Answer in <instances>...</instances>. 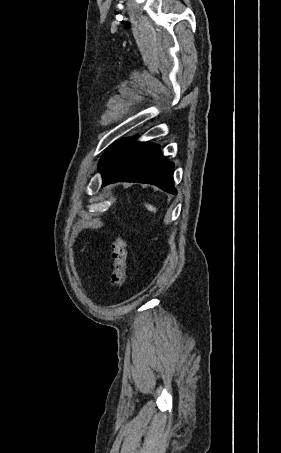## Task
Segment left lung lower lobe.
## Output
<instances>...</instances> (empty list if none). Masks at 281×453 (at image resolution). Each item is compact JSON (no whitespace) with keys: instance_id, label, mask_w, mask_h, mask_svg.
Returning <instances> with one entry per match:
<instances>
[{"instance_id":"left-lung-lower-lobe-1","label":"left lung lower lobe","mask_w":281,"mask_h":453,"mask_svg":"<svg viewBox=\"0 0 281 453\" xmlns=\"http://www.w3.org/2000/svg\"><path fill=\"white\" fill-rule=\"evenodd\" d=\"M134 139L115 142L102 156L99 162L102 185L118 181L149 183L176 194L173 163L161 155L159 145Z\"/></svg>"}]
</instances>
